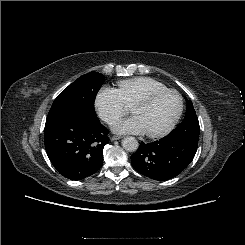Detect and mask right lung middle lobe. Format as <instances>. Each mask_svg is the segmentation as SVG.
Wrapping results in <instances>:
<instances>
[{"label": "right lung middle lobe", "mask_w": 245, "mask_h": 245, "mask_svg": "<svg viewBox=\"0 0 245 245\" xmlns=\"http://www.w3.org/2000/svg\"><path fill=\"white\" fill-rule=\"evenodd\" d=\"M104 81V75L98 72L82 75L55 99L47 118L57 115H78L88 120L99 121L94 101Z\"/></svg>", "instance_id": "dd1d6c3e"}]
</instances>
